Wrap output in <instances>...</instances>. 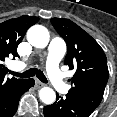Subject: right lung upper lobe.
Instances as JSON below:
<instances>
[{
    "label": "right lung upper lobe",
    "mask_w": 117,
    "mask_h": 117,
    "mask_svg": "<svg viewBox=\"0 0 117 117\" xmlns=\"http://www.w3.org/2000/svg\"><path fill=\"white\" fill-rule=\"evenodd\" d=\"M39 20L35 16H21L0 23V101L4 99L23 79L5 78L7 68L3 65L6 57H16L17 47L29 27Z\"/></svg>",
    "instance_id": "right-lung-upper-lobe-1"
}]
</instances>
